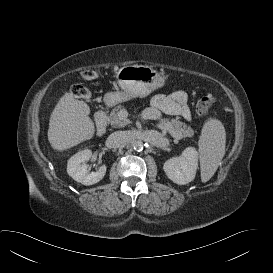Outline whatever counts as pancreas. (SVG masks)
<instances>
[{
  "instance_id": "obj_1",
  "label": "pancreas",
  "mask_w": 273,
  "mask_h": 273,
  "mask_svg": "<svg viewBox=\"0 0 273 273\" xmlns=\"http://www.w3.org/2000/svg\"><path fill=\"white\" fill-rule=\"evenodd\" d=\"M124 110L125 108L119 105L111 111L108 116V121L112 127L121 128L131 123L129 119L120 116V112ZM156 126L161 129L163 133L169 132L176 139L187 136L191 137L194 133L190 126L176 119H161Z\"/></svg>"
}]
</instances>
